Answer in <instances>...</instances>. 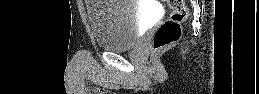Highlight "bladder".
<instances>
[{
    "label": "bladder",
    "mask_w": 259,
    "mask_h": 94,
    "mask_svg": "<svg viewBox=\"0 0 259 94\" xmlns=\"http://www.w3.org/2000/svg\"><path fill=\"white\" fill-rule=\"evenodd\" d=\"M87 17L97 46L110 52L134 48L144 25V17L134 0L88 1Z\"/></svg>",
    "instance_id": "bladder-1"
}]
</instances>
